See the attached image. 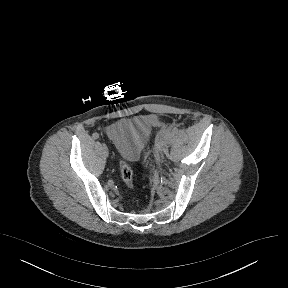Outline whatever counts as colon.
I'll use <instances>...</instances> for the list:
<instances>
[{"mask_svg": "<svg viewBox=\"0 0 288 288\" xmlns=\"http://www.w3.org/2000/svg\"><path fill=\"white\" fill-rule=\"evenodd\" d=\"M120 173L123 182L129 187H133V171L127 163H122L120 166Z\"/></svg>", "mask_w": 288, "mask_h": 288, "instance_id": "obj_1", "label": "colon"}]
</instances>
